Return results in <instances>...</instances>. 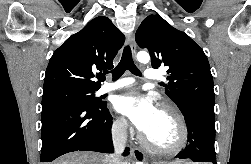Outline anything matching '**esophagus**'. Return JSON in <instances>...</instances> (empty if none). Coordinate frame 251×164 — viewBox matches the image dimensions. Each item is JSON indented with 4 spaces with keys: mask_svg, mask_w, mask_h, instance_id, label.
Returning a JSON list of instances; mask_svg holds the SVG:
<instances>
[{
    "mask_svg": "<svg viewBox=\"0 0 251 164\" xmlns=\"http://www.w3.org/2000/svg\"><path fill=\"white\" fill-rule=\"evenodd\" d=\"M128 44L130 45L132 55L135 57L136 56V42H135V36L133 33L128 35ZM132 155L134 159L138 162L145 163V154L144 152L137 146L133 145L132 146Z\"/></svg>",
    "mask_w": 251,
    "mask_h": 164,
    "instance_id": "esophagus-1",
    "label": "esophagus"
}]
</instances>
